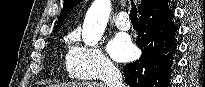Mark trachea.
<instances>
[{
    "instance_id": "trachea-1",
    "label": "trachea",
    "mask_w": 205,
    "mask_h": 87,
    "mask_svg": "<svg viewBox=\"0 0 205 87\" xmlns=\"http://www.w3.org/2000/svg\"><path fill=\"white\" fill-rule=\"evenodd\" d=\"M129 18L131 22H138L137 8L132 0H131V10H130Z\"/></svg>"
}]
</instances>
